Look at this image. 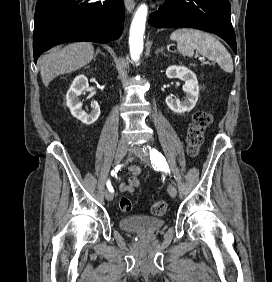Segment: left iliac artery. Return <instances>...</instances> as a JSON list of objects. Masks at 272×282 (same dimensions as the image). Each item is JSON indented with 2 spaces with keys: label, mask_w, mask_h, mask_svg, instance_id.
I'll use <instances>...</instances> for the list:
<instances>
[{
  "label": "left iliac artery",
  "mask_w": 272,
  "mask_h": 282,
  "mask_svg": "<svg viewBox=\"0 0 272 282\" xmlns=\"http://www.w3.org/2000/svg\"><path fill=\"white\" fill-rule=\"evenodd\" d=\"M149 153H150V160L151 163L153 164V167L158 170H162L166 173L170 174V169L168 166V163L166 162L165 157L158 152L156 149H151L149 147Z\"/></svg>",
  "instance_id": "obj_1"
}]
</instances>
